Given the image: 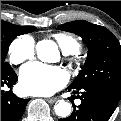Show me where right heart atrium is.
Instances as JSON below:
<instances>
[{
    "label": "right heart atrium",
    "mask_w": 121,
    "mask_h": 121,
    "mask_svg": "<svg viewBox=\"0 0 121 121\" xmlns=\"http://www.w3.org/2000/svg\"><path fill=\"white\" fill-rule=\"evenodd\" d=\"M35 41L29 36H20L12 41L9 47V57L13 64H21L33 57Z\"/></svg>",
    "instance_id": "1"
}]
</instances>
